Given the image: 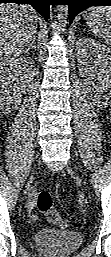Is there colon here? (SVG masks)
Segmentation results:
<instances>
[{
	"label": "colon",
	"instance_id": "1",
	"mask_svg": "<svg viewBox=\"0 0 111 257\" xmlns=\"http://www.w3.org/2000/svg\"><path fill=\"white\" fill-rule=\"evenodd\" d=\"M38 210L45 216L46 220L61 229L68 227V222L60 215L53 205L52 195L48 191H40L36 196Z\"/></svg>",
	"mask_w": 111,
	"mask_h": 257
}]
</instances>
